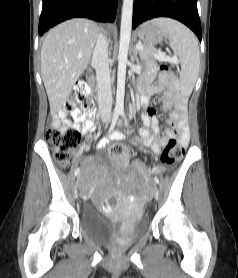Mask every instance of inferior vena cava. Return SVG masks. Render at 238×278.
<instances>
[{
    "instance_id": "obj_1",
    "label": "inferior vena cava",
    "mask_w": 238,
    "mask_h": 278,
    "mask_svg": "<svg viewBox=\"0 0 238 278\" xmlns=\"http://www.w3.org/2000/svg\"><path fill=\"white\" fill-rule=\"evenodd\" d=\"M92 65L96 71L98 105L101 118L107 122L111 116L112 91L108 63V39L100 33L92 56Z\"/></svg>"
}]
</instances>
